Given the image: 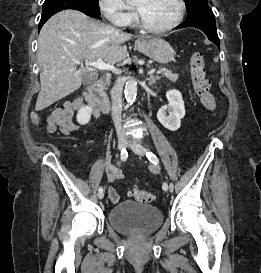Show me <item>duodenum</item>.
Listing matches in <instances>:
<instances>
[{
    "instance_id": "duodenum-1",
    "label": "duodenum",
    "mask_w": 261,
    "mask_h": 273,
    "mask_svg": "<svg viewBox=\"0 0 261 273\" xmlns=\"http://www.w3.org/2000/svg\"><path fill=\"white\" fill-rule=\"evenodd\" d=\"M84 98L96 109L107 113L110 109L109 99L103 94V82L97 80L88 85Z\"/></svg>"
}]
</instances>
